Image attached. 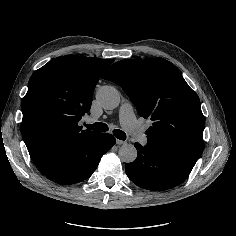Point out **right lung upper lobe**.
Instances as JSON below:
<instances>
[{
  "label": "right lung upper lobe",
  "mask_w": 236,
  "mask_h": 236,
  "mask_svg": "<svg viewBox=\"0 0 236 236\" xmlns=\"http://www.w3.org/2000/svg\"><path fill=\"white\" fill-rule=\"evenodd\" d=\"M114 60L66 55L31 76L22 101L21 131L31 159L46 175L77 142L95 134L78 125L89 112L101 73Z\"/></svg>",
  "instance_id": "1"
}]
</instances>
